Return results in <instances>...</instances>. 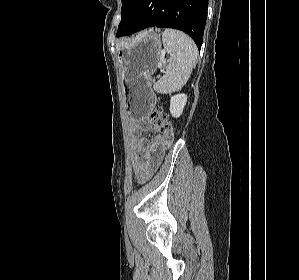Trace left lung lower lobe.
<instances>
[{
  "label": "left lung lower lobe",
  "instance_id": "obj_1",
  "mask_svg": "<svg viewBox=\"0 0 299 280\" xmlns=\"http://www.w3.org/2000/svg\"><path fill=\"white\" fill-rule=\"evenodd\" d=\"M207 9L208 0H137L131 21L119 37L152 26L174 28L187 33L200 50Z\"/></svg>",
  "mask_w": 299,
  "mask_h": 280
}]
</instances>
